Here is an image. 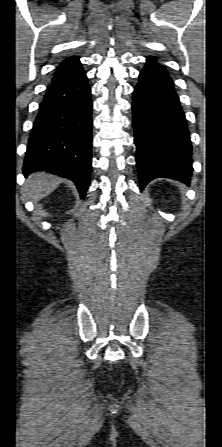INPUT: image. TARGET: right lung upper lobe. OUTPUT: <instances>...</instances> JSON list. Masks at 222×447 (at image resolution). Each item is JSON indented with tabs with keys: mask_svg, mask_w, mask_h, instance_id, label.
Returning <instances> with one entry per match:
<instances>
[{
	"mask_svg": "<svg viewBox=\"0 0 222 447\" xmlns=\"http://www.w3.org/2000/svg\"><path fill=\"white\" fill-rule=\"evenodd\" d=\"M79 60L78 57H68L62 61L57 67L56 74L52 79V82L64 76L72 66Z\"/></svg>",
	"mask_w": 222,
	"mask_h": 447,
	"instance_id": "obj_1",
	"label": "right lung upper lobe"
}]
</instances>
